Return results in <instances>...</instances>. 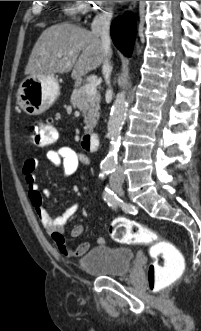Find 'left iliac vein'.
I'll return each instance as SVG.
<instances>
[{
  "label": "left iliac vein",
  "instance_id": "left-iliac-vein-1",
  "mask_svg": "<svg viewBox=\"0 0 201 331\" xmlns=\"http://www.w3.org/2000/svg\"><path fill=\"white\" fill-rule=\"evenodd\" d=\"M111 186L114 191L118 192L121 190V183L117 182V180L114 178L111 179Z\"/></svg>",
  "mask_w": 201,
  "mask_h": 331
}]
</instances>
